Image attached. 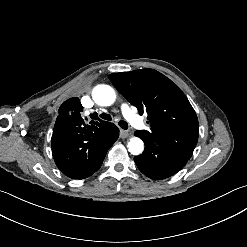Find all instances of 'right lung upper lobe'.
Returning a JSON list of instances; mask_svg holds the SVG:
<instances>
[{"label": "right lung upper lobe", "mask_w": 247, "mask_h": 247, "mask_svg": "<svg viewBox=\"0 0 247 247\" xmlns=\"http://www.w3.org/2000/svg\"><path fill=\"white\" fill-rule=\"evenodd\" d=\"M82 111L83 106L78 98H70L65 101L59 108L53 135L74 130L81 134L82 140L97 142L111 134L114 127L113 123L99 120L100 122L96 123L91 121V125L85 124L80 114Z\"/></svg>", "instance_id": "cb5924a9"}]
</instances>
